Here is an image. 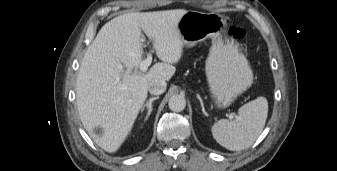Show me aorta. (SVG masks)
Wrapping results in <instances>:
<instances>
[{
	"instance_id": "obj_1",
	"label": "aorta",
	"mask_w": 337,
	"mask_h": 171,
	"mask_svg": "<svg viewBox=\"0 0 337 171\" xmlns=\"http://www.w3.org/2000/svg\"><path fill=\"white\" fill-rule=\"evenodd\" d=\"M168 106L174 112H181L186 107V100L181 95H173L169 99Z\"/></svg>"
}]
</instances>
